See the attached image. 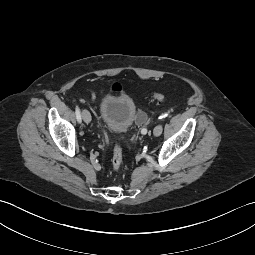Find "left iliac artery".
<instances>
[{
    "instance_id": "44dca946",
    "label": "left iliac artery",
    "mask_w": 255,
    "mask_h": 255,
    "mask_svg": "<svg viewBox=\"0 0 255 255\" xmlns=\"http://www.w3.org/2000/svg\"><path fill=\"white\" fill-rule=\"evenodd\" d=\"M168 115H169V113H164V114H162V115L159 117V119L166 118ZM146 132H147V129H146V128H143V129L141 130V133H142V134H145Z\"/></svg>"
}]
</instances>
